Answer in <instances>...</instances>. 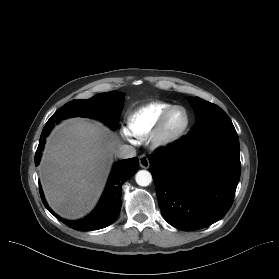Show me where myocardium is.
<instances>
[{
    "mask_svg": "<svg viewBox=\"0 0 279 279\" xmlns=\"http://www.w3.org/2000/svg\"><path fill=\"white\" fill-rule=\"evenodd\" d=\"M175 110H182L185 115V122L182 128L173 135H167L165 132L166 121L170 114ZM191 123L188 110L180 105H172L167 108L158 119L156 125L150 132V138L154 145L158 147H169L181 141L187 134Z\"/></svg>",
    "mask_w": 279,
    "mask_h": 279,
    "instance_id": "myocardium-1",
    "label": "myocardium"
}]
</instances>
